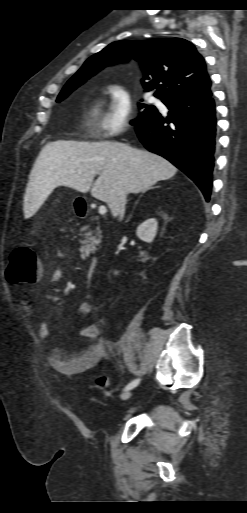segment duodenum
<instances>
[{
	"instance_id": "duodenum-1",
	"label": "duodenum",
	"mask_w": 247,
	"mask_h": 513,
	"mask_svg": "<svg viewBox=\"0 0 247 513\" xmlns=\"http://www.w3.org/2000/svg\"><path fill=\"white\" fill-rule=\"evenodd\" d=\"M76 210L80 214V216H85L87 214V212H88L86 202H84V201L83 202H78L76 204ZM97 264H98V259L94 258L91 261L90 267L91 268H95L97 266Z\"/></svg>"
}]
</instances>
